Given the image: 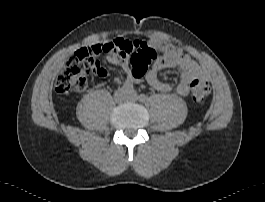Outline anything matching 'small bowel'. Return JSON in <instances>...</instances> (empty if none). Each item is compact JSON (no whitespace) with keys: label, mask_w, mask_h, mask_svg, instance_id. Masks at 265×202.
<instances>
[{"label":"small bowel","mask_w":265,"mask_h":202,"mask_svg":"<svg viewBox=\"0 0 265 202\" xmlns=\"http://www.w3.org/2000/svg\"><path fill=\"white\" fill-rule=\"evenodd\" d=\"M140 45H143L142 43ZM151 47H161L162 55L157 57L150 65V69L146 75L147 83L154 89L162 92L172 90V85L163 82L159 78L161 71L166 69H175L180 73V81L176 86V91L182 96H187L190 93V85L193 80L202 76V70L199 65L188 55L183 54L181 50L176 47L166 45L158 40H150ZM105 58L110 63L121 64L127 77L126 81L137 82L132 75L129 67L128 59L124 58L118 53H109ZM125 81V82H126Z\"/></svg>","instance_id":"1"}]
</instances>
